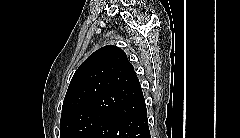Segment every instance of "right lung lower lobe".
I'll use <instances>...</instances> for the list:
<instances>
[{
  "label": "right lung lower lobe",
  "mask_w": 240,
  "mask_h": 138,
  "mask_svg": "<svg viewBox=\"0 0 240 138\" xmlns=\"http://www.w3.org/2000/svg\"><path fill=\"white\" fill-rule=\"evenodd\" d=\"M86 138H150L143 93L107 113Z\"/></svg>",
  "instance_id": "right-lung-lower-lobe-1"
}]
</instances>
